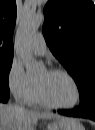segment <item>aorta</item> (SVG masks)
Returning <instances> with one entry per match:
<instances>
[{"mask_svg":"<svg viewBox=\"0 0 95 130\" xmlns=\"http://www.w3.org/2000/svg\"><path fill=\"white\" fill-rule=\"evenodd\" d=\"M43 22V14L27 15L21 21L17 32V51L25 64L27 74L30 76L39 71V66L31 55L30 41Z\"/></svg>","mask_w":95,"mask_h":130,"instance_id":"aorta-1","label":"aorta"}]
</instances>
